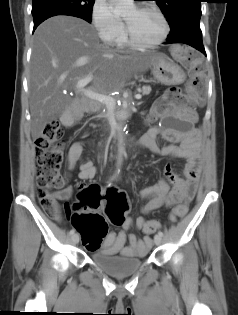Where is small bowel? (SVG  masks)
<instances>
[{"label":"small bowel","mask_w":238,"mask_h":315,"mask_svg":"<svg viewBox=\"0 0 238 315\" xmlns=\"http://www.w3.org/2000/svg\"><path fill=\"white\" fill-rule=\"evenodd\" d=\"M160 133L161 130L159 128H150L139 137L137 141L138 146L148 148L157 155L185 159L186 164L184 166V177L182 178L176 175L172 166L168 164L165 169V178H161L156 184L146 187L140 192V196L142 198L148 199L142 207V212L145 214L151 213L164 206L172 205L175 202H182L186 204L189 200H191L195 193L201 171L199 162L201 132L197 128H192L176 134L174 136V140L179 141V145H159L157 139ZM82 151L83 144L80 141H74L71 144L67 160L69 170H73L75 168ZM95 174L96 168L92 161L87 160L80 165L78 172V178L80 180L85 181L92 179ZM170 182L173 184L172 188L169 184ZM71 194L72 188L66 187L55 192L54 197L56 200L62 201L69 199ZM53 215L55 219L60 220V216L57 213ZM146 222L147 221L144 217H138L135 220L127 217L126 221L122 225V231L118 234H106L103 238V243L101 245L102 252L109 255L120 253L122 256L127 257L144 255L152 246V238L149 235H146L142 239L133 233L126 234L125 231L132 225L141 229L144 227ZM126 241L128 242L127 246H125Z\"/></svg>","instance_id":"small-bowel-1"}]
</instances>
